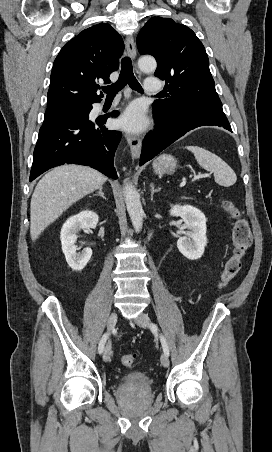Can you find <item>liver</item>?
Returning a JSON list of instances; mask_svg holds the SVG:
<instances>
[{"mask_svg":"<svg viewBox=\"0 0 272 452\" xmlns=\"http://www.w3.org/2000/svg\"><path fill=\"white\" fill-rule=\"evenodd\" d=\"M106 177L88 166L67 164L54 168L38 182L30 204L33 241L71 205L102 187Z\"/></svg>","mask_w":272,"mask_h":452,"instance_id":"1","label":"liver"}]
</instances>
